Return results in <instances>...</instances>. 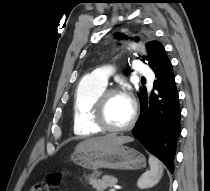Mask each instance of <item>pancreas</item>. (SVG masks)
<instances>
[{"label": "pancreas", "mask_w": 210, "mask_h": 191, "mask_svg": "<svg viewBox=\"0 0 210 191\" xmlns=\"http://www.w3.org/2000/svg\"><path fill=\"white\" fill-rule=\"evenodd\" d=\"M97 177L98 175L95 173L86 177L89 181V184H91L92 187L97 191H104L109 186H112L117 183V178L110 175H105L102 177V179H98Z\"/></svg>", "instance_id": "obj_1"}]
</instances>
